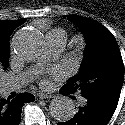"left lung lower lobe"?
<instances>
[{
    "label": "left lung lower lobe",
    "instance_id": "obj_1",
    "mask_svg": "<svg viewBox=\"0 0 125 125\" xmlns=\"http://www.w3.org/2000/svg\"><path fill=\"white\" fill-rule=\"evenodd\" d=\"M63 95H69L63 88L59 90ZM119 98L85 99L83 106L73 118L58 125H106L112 118Z\"/></svg>",
    "mask_w": 125,
    "mask_h": 125
}]
</instances>
